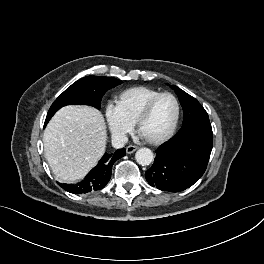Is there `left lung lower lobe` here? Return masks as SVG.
I'll use <instances>...</instances> for the list:
<instances>
[{
  "label": "left lung lower lobe",
  "mask_w": 264,
  "mask_h": 264,
  "mask_svg": "<svg viewBox=\"0 0 264 264\" xmlns=\"http://www.w3.org/2000/svg\"><path fill=\"white\" fill-rule=\"evenodd\" d=\"M213 147L210 123L178 132L158 147L152 167L145 177L160 190L179 192L192 186L204 174Z\"/></svg>",
  "instance_id": "left-lung-lower-lobe-1"
}]
</instances>
